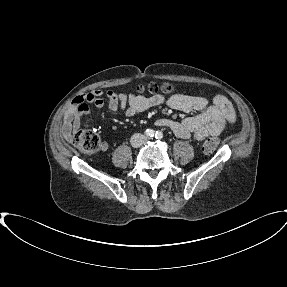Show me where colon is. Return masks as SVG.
I'll return each mask as SVG.
<instances>
[{"label": "colon", "instance_id": "1", "mask_svg": "<svg viewBox=\"0 0 287 287\" xmlns=\"http://www.w3.org/2000/svg\"><path fill=\"white\" fill-rule=\"evenodd\" d=\"M136 90L139 93L148 92L152 95H158L159 93L171 94L174 92V87L170 83H150L147 86H138ZM72 142L76 147L86 154L95 153L101 147L98 136L91 131H77L73 135ZM217 146L218 139L215 137H210L204 142L203 151L207 154L213 153Z\"/></svg>", "mask_w": 287, "mask_h": 287}]
</instances>
